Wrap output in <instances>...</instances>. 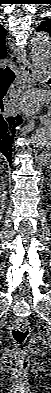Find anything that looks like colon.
Listing matches in <instances>:
<instances>
[{
  "mask_svg": "<svg viewBox=\"0 0 51 393\" xmlns=\"http://www.w3.org/2000/svg\"><path fill=\"white\" fill-rule=\"evenodd\" d=\"M13 340L22 344L29 336V323L24 318H17L11 328ZM30 352L34 356H43L47 350L46 341L41 337H34L29 342ZM4 364L13 371H22L29 364L28 355L19 348L9 349L4 356Z\"/></svg>",
  "mask_w": 51,
  "mask_h": 393,
  "instance_id": "colon-1",
  "label": "colon"
}]
</instances>
